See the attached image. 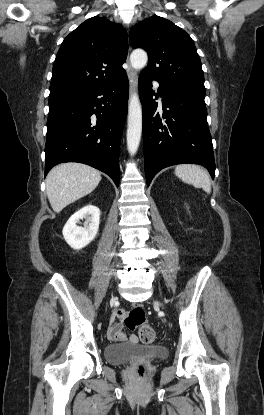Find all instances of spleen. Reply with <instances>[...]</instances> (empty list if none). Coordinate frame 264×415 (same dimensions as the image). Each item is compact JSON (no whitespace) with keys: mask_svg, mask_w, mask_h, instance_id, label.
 <instances>
[{"mask_svg":"<svg viewBox=\"0 0 264 415\" xmlns=\"http://www.w3.org/2000/svg\"><path fill=\"white\" fill-rule=\"evenodd\" d=\"M175 175L183 182L192 184L196 188H203L207 193L211 192V182L207 172L197 165H178Z\"/></svg>","mask_w":264,"mask_h":415,"instance_id":"3e777b00","label":"spleen"}]
</instances>
